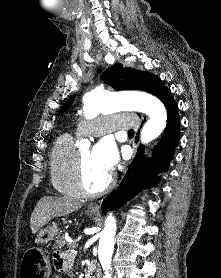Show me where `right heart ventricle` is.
<instances>
[{"label": "right heart ventricle", "mask_w": 221, "mask_h": 278, "mask_svg": "<svg viewBox=\"0 0 221 278\" xmlns=\"http://www.w3.org/2000/svg\"><path fill=\"white\" fill-rule=\"evenodd\" d=\"M77 151L69 135L59 137L49 156L50 180L54 189L61 195L80 199L82 196L73 181V165Z\"/></svg>", "instance_id": "1"}]
</instances>
